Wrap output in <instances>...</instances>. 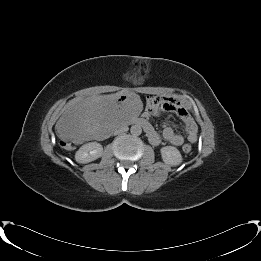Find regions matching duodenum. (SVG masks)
Masks as SVG:
<instances>
[{
	"label": "duodenum",
	"mask_w": 261,
	"mask_h": 261,
	"mask_svg": "<svg viewBox=\"0 0 261 261\" xmlns=\"http://www.w3.org/2000/svg\"><path fill=\"white\" fill-rule=\"evenodd\" d=\"M135 122L138 125L142 126L148 135L153 131V127L149 124V122L145 118H137Z\"/></svg>",
	"instance_id": "410a0bca"
}]
</instances>
